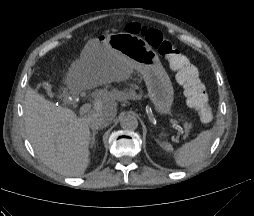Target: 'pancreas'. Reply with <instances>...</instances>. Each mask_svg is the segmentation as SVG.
<instances>
[{"mask_svg":"<svg viewBox=\"0 0 254 216\" xmlns=\"http://www.w3.org/2000/svg\"><path fill=\"white\" fill-rule=\"evenodd\" d=\"M186 133H188L189 128H191V125L188 123H185Z\"/></svg>","mask_w":254,"mask_h":216,"instance_id":"cf45deb5","label":"pancreas"}]
</instances>
